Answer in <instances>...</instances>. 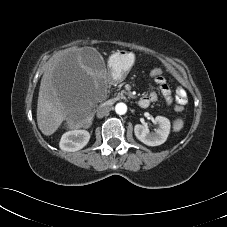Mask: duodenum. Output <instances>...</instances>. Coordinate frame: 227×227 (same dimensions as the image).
<instances>
[{
    "instance_id": "1",
    "label": "duodenum",
    "mask_w": 227,
    "mask_h": 227,
    "mask_svg": "<svg viewBox=\"0 0 227 227\" xmlns=\"http://www.w3.org/2000/svg\"><path fill=\"white\" fill-rule=\"evenodd\" d=\"M138 105H139L141 108H146V107H148L149 104H148V101H147V100L141 98V99L138 101Z\"/></svg>"
}]
</instances>
